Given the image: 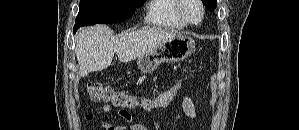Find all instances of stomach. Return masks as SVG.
I'll use <instances>...</instances> for the list:
<instances>
[{"label": "stomach", "mask_w": 299, "mask_h": 130, "mask_svg": "<svg viewBox=\"0 0 299 130\" xmlns=\"http://www.w3.org/2000/svg\"><path fill=\"white\" fill-rule=\"evenodd\" d=\"M195 51V41L191 37L178 35L161 43L149 53L137 60L138 69L142 73H151L161 63H175L189 57Z\"/></svg>", "instance_id": "0dacf381"}]
</instances>
